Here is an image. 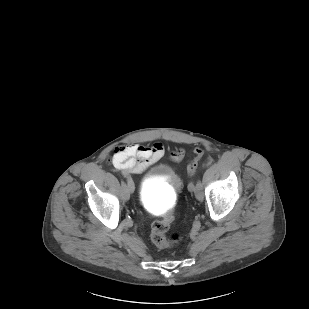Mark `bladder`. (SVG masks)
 Segmentation results:
<instances>
[{
    "mask_svg": "<svg viewBox=\"0 0 309 309\" xmlns=\"http://www.w3.org/2000/svg\"><path fill=\"white\" fill-rule=\"evenodd\" d=\"M181 179L173 167L165 163H154L145 172L139 188V198L148 210L161 209L171 212L170 202Z\"/></svg>",
    "mask_w": 309,
    "mask_h": 309,
    "instance_id": "bladder-1",
    "label": "bladder"
}]
</instances>
